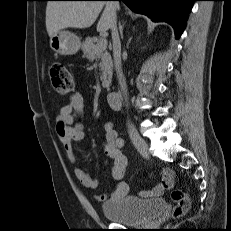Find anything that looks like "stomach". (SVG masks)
<instances>
[{
    "label": "stomach",
    "instance_id": "obj_1",
    "mask_svg": "<svg viewBox=\"0 0 231 231\" xmlns=\"http://www.w3.org/2000/svg\"><path fill=\"white\" fill-rule=\"evenodd\" d=\"M80 46L79 37L69 31H59L50 38V48L60 55H74Z\"/></svg>",
    "mask_w": 231,
    "mask_h": 231
}]
</instances>
